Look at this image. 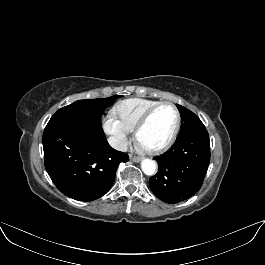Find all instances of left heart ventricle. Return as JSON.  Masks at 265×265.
I'll list each match as a JSON object with an SVG mask.
<instances>
[{
    "instance_id": "1",
    "label": "left heart ventricle",
    "mask_w": 265,
    "mask_h": 265,
    "mask_svg": "<svg viewBox=\"0 0 265 265\" xmlns=\"http://www.w3.org/2000/svg\"><path fill=\"white\" fill-rule=\"evenodd\" d=\"M176 122L174 110L164 106L156 111L140 133V144L153 148L163 144L171 135Z\"/></svg>"
}]
</instances>
